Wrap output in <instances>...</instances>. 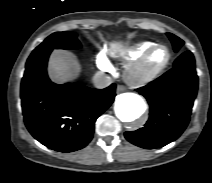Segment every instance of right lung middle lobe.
Here are the masks:
<instances>
[{
  "label": "right lung middle lobe",
  "mask_w": 212,
  "mask_h": 183,
  "mask_svg": "<svg viewBox=\"0 0 212 183\" xmlns=\"http://www.w3.org/2000/svg\"><path fill=\"white\" fill-rule=\"evenodd\" d=\"M76 37L77 34L70 31L56 32L47 37L34 51L77 49L81 45Z\"/></svg>",
  "instance_id": "obj_1"
}]
</instances>
